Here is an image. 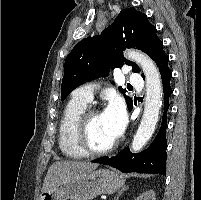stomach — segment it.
Listing matches in <instances>:
<instances>
[{
    "instance_id": "stomach-1",
    "label": "stomach",
    "mask_w": 201,
    "mask_h": 200,
    "mask_svg": "<svg viewBox=\"0 0 201 200\" xmlns=\"http://www.w3.org/2000/svg\"><path fill=\"white\" fill-rule=\"evenodd\" d=\"M123 185V177L115 171L81 172L42 192L39 200H91L100 194H112Z\"/></svg>"
}]
</instances>
